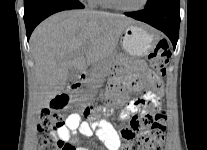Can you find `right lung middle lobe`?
Here are the masks:
<instances>
[{
	"label": "right lung middle lobe",
	"instance_id": "1",
	"mask_svg": "<svg viewBox=\"0 0 207 150\" xmlns=\"http://www.w3.org/2000/svg\"><path fill=\"white\" fill-rule=\"evenodd\" d=\"M34 0H24V4L25 5H28V4H30V3H32Z\"/></svg>",
	"mask_w": 207,
	"mask_h": 150
}]
</instances>
